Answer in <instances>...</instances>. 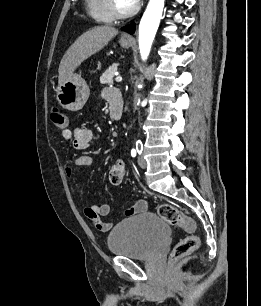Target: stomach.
<instances>
[{
    "mask_svg": "<svg viewBox=\"0 0 261 306\" xmlns=\"http://www.w3.org/2000/svg\"><path fill=\"white\" fill-rule=\"evenodd\" d=\"M123 48H129L131 43L120 40ZM90 94L89 86L86 81L78 74H72L71 78L58 86L57 101L59 104L70 111H78L83 108Z\"/></svg>",
    "mask_w": 261,
    "mask_h": 306,
    "instance_id": "1",
    "label": "stomach"
}]
</instances>
